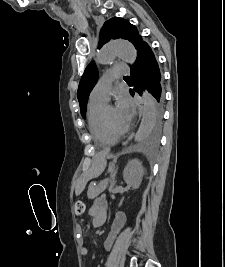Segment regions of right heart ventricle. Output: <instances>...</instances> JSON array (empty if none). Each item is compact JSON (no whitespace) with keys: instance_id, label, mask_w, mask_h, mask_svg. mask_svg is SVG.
I'll use <instances>...</instances> for the list:
<instances>
[{"instance_id":"e07e8e85","label":"right heart ventricle","mask_w":225,"mask_h":267,"mask_svg":"<svg viewBox=\"0 0 225 267\" xmlns=\"http://www.w3.org/2000/svg\"><path fill=\"white\" fill-rule=\"evenodd\" d=\"M106 107V102L89 100L87 119L90 133L94 141L100 146L113 145L117 139L109 135L102 123V112Z\"/></svg>"}]
</instances>
